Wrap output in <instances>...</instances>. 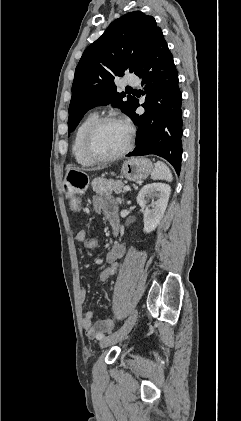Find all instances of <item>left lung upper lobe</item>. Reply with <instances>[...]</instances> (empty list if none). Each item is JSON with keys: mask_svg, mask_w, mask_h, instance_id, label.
<instances>
[{"mask_svg": "<svg viewBox=\"0 0 241 421\" xmlns=\"http://www.w3.org/2000/svg\"><path fill=\"white\" fill-rule=\"evenodd\" d=\"M161 31L152 16L141 11L113 21L104 34L84 51L75 70L69 105L68 130H74L83 115L100 105L120 106L129 117L136 98L116 91L114 79L125 71L137 73L152 43Z\"/></svg>", "mask_w": 241, "mask_h": 421, "instance_id": "5c2ea615", "label": "left lung upper lobe"}]
</instances>
